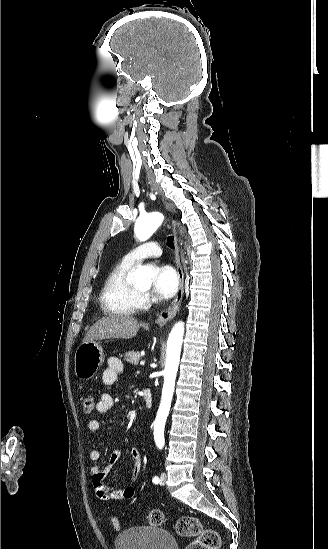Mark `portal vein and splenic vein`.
I'll use <instances>...</instances> for the list:
<instances>
[{"label":"portal vein and splenic vein","mask_w":328,"mask_h":549,"mask_svg":"<svg viewBox=\"0 0 328 549\" xmlns=\"http://www.w3.org/2000/svg\"><path fill=\"white\" fill-rule=\"evenodd\" d=\"M139 364H141V365L144 364V361H139Z\"/></svg>","instance_id":"18ae733b"}]
</instances>
